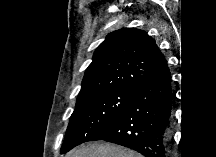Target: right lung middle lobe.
Wrapping results in <instances>:
<instances>
[{"label":"right lung middle lobe","instance_id":"dd1d6c3e","mask_svg":"<svg viewBox=\"0 0 216 157\" xmlns=\"http://www.w3.org/2000/svg\"><path fill=\"white\" fill-rule=\"evenodd\" d=\"M133 88L121 87L92 93L77 99L61 148L64 154L75 146L92 141L123 112Z\"/></svg>","mask_w":216,"mask_h":157}]
</instances>
